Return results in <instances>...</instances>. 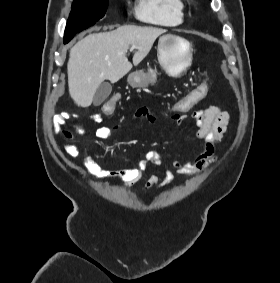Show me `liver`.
Segmentation results:
<instances>
[{
  "label": "liver",
  "instance_id": "obj_1",
  "mask_svg": "<svg viewBox=\"0 0 280 283\" xmlns=\"http://www.w3.org/2000/svg\"><path fill=\"white\" fill-rule=\"evenodd\" d=\"M165 29L125 25L116 30L93 33L76 43L70 50L68 70L69 94L81 107H89L98 86L109 80L116 83L132 69L126 57L130 46L137 51L133 65H138L150 52Z\"/></svg>",
  "mask_w": 280,
  "mask_h": 283
}]
</instances>
